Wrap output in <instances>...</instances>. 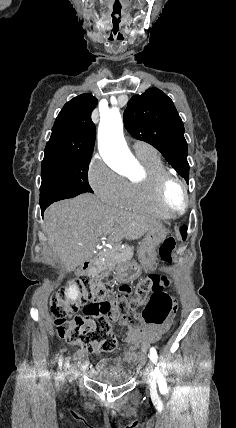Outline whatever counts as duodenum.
Listing matches in <instances>:
<instances>
[{"instance_id": "410a0bca", "label": "duodenum", "mask_w": 236, "mask_h": 428, "mask_svg": "<svg viewBox=\"0 0 236 428\" xmlns=\"http://www.w3.org/2000/svg\"><path fill=\"white\" fill-rule=\"evenodd\" d=\"M95 263V258H91L82 263L79 269V275L81 277H89L90 271Z\"/></svg>"}]
</instances>
